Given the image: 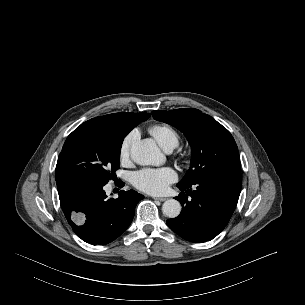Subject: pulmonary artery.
Masks as SVG:
<instances>
[{"instance_id":"e3ab8cb5","label":"pulmonary artery","mask_w":305,"mask_h":305,"mask_svg":"<svg viewBox=\"0 0 305 305\" xmlns=\"http://www.w3.org/2000/svg\"><path fill=\"white\" fill-rule=\"evenodd\" d=\"M167 152H171L172 150L171 149H168V150H166Z\"/></svg>"}]
</instances>
